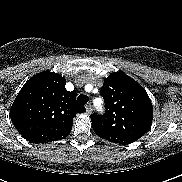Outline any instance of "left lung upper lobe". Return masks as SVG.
I'll use <instances>...</instances> for the list:
<instances>
[{
    "label": "left lung upper lobe",
    "mask_w": 182,
    "mask_h": 182,
    "mask_svg": "<svg viewBox=\"0 0 182 182\" xmlns=\"http://www.w3.org/2000/svg\"><path fill=\"white\" fill-rule=\"evenodd\" d=\"M100 93L106 112L90 115L94 130L135 141L149 131L153 120L152 103L134 79L123 72H114L104 79Z\"/></svg>",
    "instance_id": "obj_1"
}]
</instances>
